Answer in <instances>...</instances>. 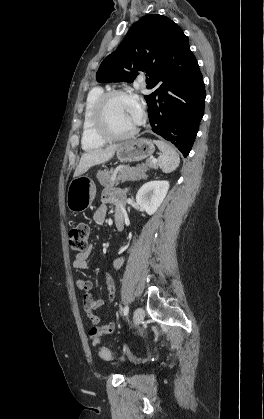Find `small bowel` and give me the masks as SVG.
<instances>
[{
  "label": "small bowel",
  "mask_w": 264,
  "mask_h": 419,
  "mask_svg": "<svg viewBox=\"0 0 264 419\" xmlns=\"http://www.w3.org/2000/svg\"><path fill=\"white\" fill-rule=\"evenodd\" d=\"M124 193L118 190H106L103 193V204L95 211L93 219L95 223L102 224L105 221L107 215V206L106 203H113L116 205L115 217L121 215L123 217L122 204H123ZM89 252L78 253L73 262L72 266L75 269L86 270L90 266L88 264ZM123 263V258H117L114 261V267L118 269ZM107 288H108V299L112 302L115 298V285L112 278L104 274L103 276ZM77 288L83 292V302L84 310L87 313V316L92 324V327L89 330V337L94 346H97L101 343L102 338L110 335L115 330V324L112 321H107L101 324L100 317L95 314V310L103 305L102 300L93 299L90 291L93 287V281L91 279H77L76 281Z\"/></svg>",
  "instance_id": "c3829d8e"
}]
</instances>
